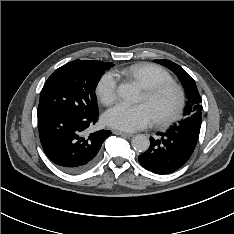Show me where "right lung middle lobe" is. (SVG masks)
<instances>
[{
	"label": "right lung middle lobe",
	"mask_w": 234,
	"mask_h": 234,
	"mask_svg": "<svg viewBox=\"0 0 234 234\" xmlns=\"http://www.w3.org/2000/svg\"><path fill=\"white\" fill-rule=\"evenodd\" d=\"M111 65L102 61L75 60L55 70L40 93L38 116L50 112L97 115L95 88Z\"/></svg>",
	"instance_id": "1"
}]
</instances>
